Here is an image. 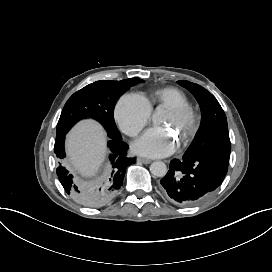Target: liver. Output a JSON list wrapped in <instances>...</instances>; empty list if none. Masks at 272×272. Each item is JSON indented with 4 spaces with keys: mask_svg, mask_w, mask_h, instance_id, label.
I'll return each instance as SVG.
<instances>
[{
    "mask_svg": "<svg viewBox=\"0 0 272 272\" xmlns=\"http://www.w3.org/2000/svg\"><path fill=\"white\" fill-rule=\"evenodd\" d=\"M66 149L70 172L81 178L93 177L108 154L106 133L97 122L83 120L67 135Z\"/></svg>",
    "mask_w": 272,
    "mask_h": 272,
    "instance_id": "liver-1",
    "label": "liver"
}]
</instances>
